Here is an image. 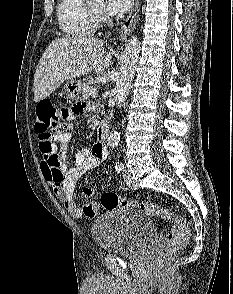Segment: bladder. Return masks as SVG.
<instances>
[{"label": "bladder", "instance_id": "bladder-1", "mask_svg": "<svg viewBox=\"0 0 233 294\" xmlns=\"http://www.w3.org/2000/svg\"><path fill=\"white\" fill-rule=\"evenodd\" d=\"M91 234L95 244L105 252L137 255L152 243L157 229L140 210L118 206L93 222Z\"/></svg>", "mask_w": 233, "mask_h": 294}]
</instances>
